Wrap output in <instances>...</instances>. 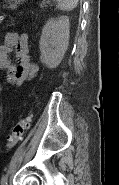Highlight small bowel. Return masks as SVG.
Instances as JSON below:
<instances>
[{"label": "small bowel", "mask_w": 119, "mask_h": 185, "mask_svg": "<svg viewBox=\"0 0 119 185\" xmlns=\"http://www.w3.org/2000/svg\"><path fill=\"white\" fill-rule=\"evenodd\" d=\"M13 50L16 64L9 59ZM0 68L5 71L6 81L15 86H21L36 75L38 67L31 59L26 34L8 32L5 35L4 43L0 46Z\"/></svg>", "instance_id": "obj_1"}]
</instances>
